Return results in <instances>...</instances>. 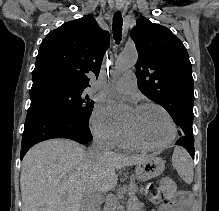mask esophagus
Masks as SVG:
<instances>
[{
	"mask_svg": "<svg viewBox=\"0 0 219 211\" xmlns=\"http://www.w3.org/2000/svg\"><path fill=\"white\" fill-rule=\"evenodd\" d=\"M123 8V5H116L117 10H121Z\"/></svg>",
	"mask_w": 219,
	"mask_h": 211,
	"instance_id": "obj_1",
	"label": "esophagus"
}]
</instances>
